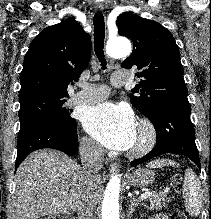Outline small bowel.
Instances as JSON below:
<instances>
[{"instance_id":"small-bowel-1","label":"small bowel","mask_w":211,"mask_h":219,"mask_svg":"<svg viewBox=\"0 0 211 219\" xmlns=\"http://www.w3.org/2000/svg\"><path fill=\"white\" fill-rule=\"evenodd\" d=\"M149 219H167L165 215L163 214H157Z\"/></svg>"}]
</instances>
